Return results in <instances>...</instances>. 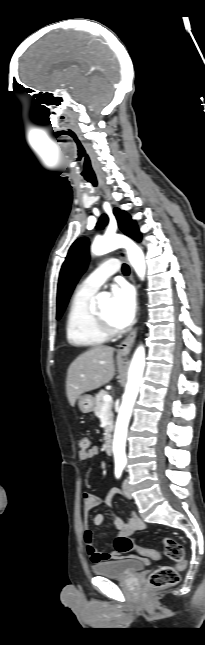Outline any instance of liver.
<instances>
[{
	"label": "liver",
	"mask_w": 205,
	"mask_h": 645,
	"mask_svg": "<svg viewBox=\"0 0 205 645\" xmlns=\"http://www.w3.org/2000/svg\"><path fill=\"white\" fill-rule=\"evenodd\" d=\"M113 353L112 347L95 346L70 364L66 393L72 407L81 394L100 388L112 380L115 371Z\"/></svg>",
	"instance_id": "obj_1"
}]
</instances>
